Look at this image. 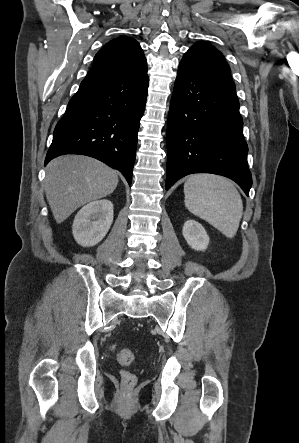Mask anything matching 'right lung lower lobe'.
<instances>
[{
  "instance_id": "right-lung-lower-lobe-1",
  "label": "right lung lower lobe",
  "mask_w": 299,
  "mask_h": 443,
  "mask_svg": "<svg viewBox=\"0 0 299 443\" xmlns=\"http://www.w3.org/2000/svg\"><path fill=\"white\" fill-rule=\"evenodd\" d=\"M147 89V71L85 78L55 127L45 165L60 155L83 154L119 170L130 185Z\"/></svg>"
}]
</instances>
